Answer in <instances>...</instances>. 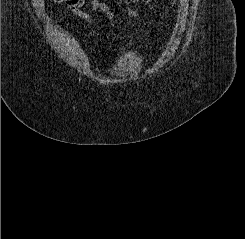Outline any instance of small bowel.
<instances>
[{
    "instance_id": "small-bowel-1",
    "label": "small bowel",
    "mask_w": 245,
    "mask_h": 239,
    "mask_svg": "<svg viewBox=\"0 0 245 239\" xmlns=\"http://www.w3.org/2000/svg\"><path fill=\"white\" fill-rule=\"evenodd\" d=\"M67 5H68L69 11L79 17L88 18V15L86 12H84L83 8H89L91 10H99L101 12H104L105 14L108 15V17L113 22H116L115 16L110 11L108 5L102 0H75V2L71 4H67ZM127 10L133 18L137 20L140 19V13L138 12L137 9L127 4Z\"/></svg>"
}]
</instances>
